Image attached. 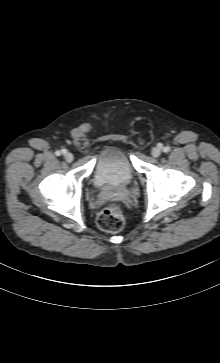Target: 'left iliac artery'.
<instances>
[{
	"label": "left iliac artery",
	"instance_id": "obj_1",
	"mask_svg": "<svg viewBox=\"0 0 220 363\" xmlns=\"http://www.w3.org/2000/svg\"><path fill=\"white\" fill-rule=\"evenodd\" d=\"M169 150H170V149H169L168 147H164V148H163V151H164L165 153L169 152Z\"/></svg>",
	"mask_w": 220,
	"mask_h": 363
}]
</instances>
